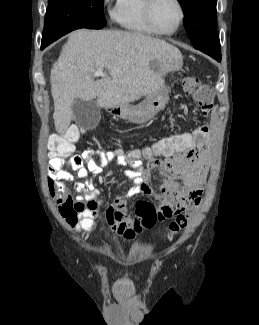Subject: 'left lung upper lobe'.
I'll return each instance as SVG.
<instances>
[{
	"instance_id": "5c2ea615",
	"label": "left lung upper lobe",
	"mask_w": 259,
	"mask_h": 325,
	"mask_svg": "<svg viewBox=\"0 0 259 325\" xmlns=\"http://www.w3.org/2000/svg\"><path fill=\"white\" fill-rule=\"evenodd\" d=\"M184 12V27L194 48L221 60L219 36L216 32L217 0H178Z\"/></svg>"
}]
</instances>
